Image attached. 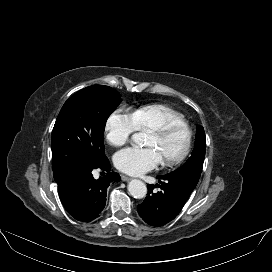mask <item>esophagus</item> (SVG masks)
Segmentation results:
<instances>
[{"instance_id": "1", "label": "esophagus", "mask_w": 272, "mask_h": 272, "mask_svg": "<svg viewBox=\"0 0 272 272\" xmlns=\"http://www.w3.org/2000/svg\"><path fill=\"white\" fill-rule=\"evenodd\" d=\"M121 179H122V181H124V182L131 180V178L128 177V176H126V175H121Z\"/></svg>"}]
</instances>
